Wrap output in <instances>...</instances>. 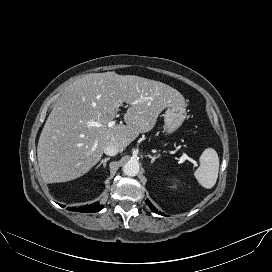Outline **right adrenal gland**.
<instances>
[{
  "mask_svg": "<svg viewBox=\"0 0 272 272\" xmlns=\"http://www.w3.org/2000/svg\"><path fill=\"white\" fill-rule=\"evenodd\" d=\"M108 160H110V157L102 159L101 162L96 166V169H98L101 165H103V167L105 168Z\"/></svg>",
  "mask_w": 272,
  "mask_h": 272,
  "instance_id": "1",
  "label": "right adrenal gland"
}]
</instances>
